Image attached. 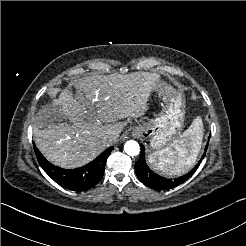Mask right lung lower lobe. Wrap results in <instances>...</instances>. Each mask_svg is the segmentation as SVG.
<instances>
[{
    "mask_svg": "<svg viewBox=\"0 0 246 246\" xmlns=\"http://www.w3.org/2000/svg\"><path fill=\"white\" fill-rule=\"evenodd\" d=\"M36 157L44 171L59 185L74 191L88 190L103 177L106 159L113 147L106 149L89 164L71 170H65L48 162L34 145Z\"/></svg>",
    "mask_w": 246,
    "mask_h": 246,
    "instance_id": "1",
    "label": "right lung lower lobe"
}]
</instances>
